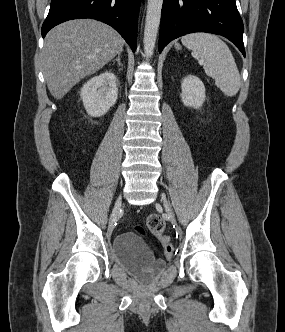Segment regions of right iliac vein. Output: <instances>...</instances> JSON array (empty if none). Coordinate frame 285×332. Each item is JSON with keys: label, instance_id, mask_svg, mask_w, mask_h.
<instances>
[{"label": "right iliac vein", "instance_id": "63e3f726", "mask_svg": "<svg viewBox=\"0 0 285 332\" xmlns=\"http://www.w3.org/2000/svg\"><path fill=\"white\" fill-rule=\"evenodd\" d=\"M121 204H122V198H121V196H119L115 202V206H114V209H113V212L111 215V225L110 226H112V223L115 221V219L118 215V212L121 208Z\"/></svg>", "mask_w": 285, "mask_h": 332}]
</instances>
